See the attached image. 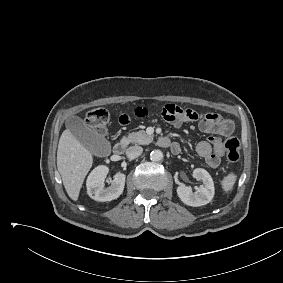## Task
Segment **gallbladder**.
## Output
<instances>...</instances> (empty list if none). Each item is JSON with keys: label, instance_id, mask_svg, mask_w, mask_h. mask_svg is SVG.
<instances>
[{"label": "gallbladder", "instance_id": "gallbladder-1", "mask_svg": "<svg viewBox=\"0 0 283 283\" xmlns=\"http://www.w3.org/2000/svg\"><path fill=\"white\" fill-rule=\"evenodd\" d=\"M67 128L72 135L92 154L96 156H107L111 152L108 140L89 128L79 117H71L67 121Z\"/></svg>", "mask_w": 283, "mask_h": 283}]
</instances>
